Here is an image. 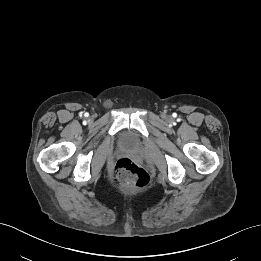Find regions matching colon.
Returning a JSON list of instances; mask_svg holds the SVG:
<instances>
[{"label":"colon","mask_w":261,"mask_h":261,"mask_svg":"<svg viewBox=\"0 0 261 261\" xmlns=\"http://www.w3.org/2000/svg\"><path fill=\"white\" fill-rule=\"evenodd\" d=\"M113 183L122 190L140 188L148 183L147 173L130 158H120L112 170Z\"/></svg>","instance_id":"obj_1"}]
</instances>
